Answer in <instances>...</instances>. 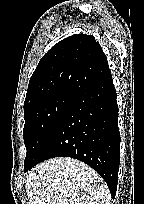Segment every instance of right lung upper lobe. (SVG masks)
Returning a JSON list of instances; mask_svg holds the SVG:
<instances>
[{
    "mask_svg": "<svg viewBox=\"0 0 144 204\" xmlns=\"http://www.w3.org/2000/svg\"><path fill=\"white\" fill-rule=\"evenodd\" d=\"M110 76L107 58L95 38L70 36L40 60L29 81L24 109L60 93L76 95Z\"/></svg>",
    "mask_w": 144,
    "mask_h": 204,
    "instance_id": "obj_1",
    "label": "right lung upper lobe"
}]
</instances>
